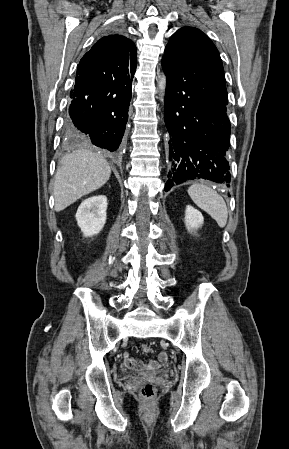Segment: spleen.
Instances as JSON below:
<instances>
[{
    "label": "spleen",
    "mask_w": 289,
    "mask_h": 449,
    "mask_svg": "<svg viewBox=\"0 0 289 449\" xmlns=\"http://www.w3.org/2000/svg\"><path fill=\"white\" fill-rule=\"evenodd\" d=\"M188 194L193 202L207 212L223 228L227 224L228 209L224 199L212 188L194 183L188 188Z\"/></svg>",
    "instance_id": "3e777b00"
}]
</instances>
